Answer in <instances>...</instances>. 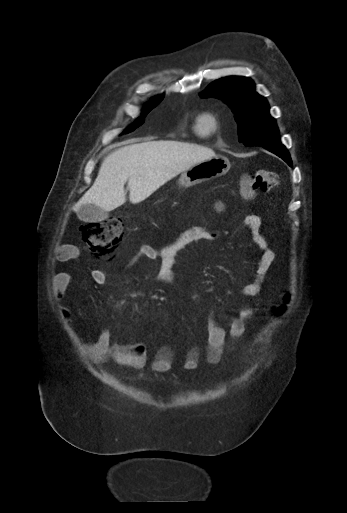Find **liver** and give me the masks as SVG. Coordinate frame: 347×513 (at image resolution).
I'll use <instances>...</instances> for the list:
<instances>
[{
  "label": "liver",
  "mask_w": 347,
  "mask_h": 513,
  "mask_svg": "<svg viewBox=\"0 0 347 513\" xmlns=\"http://www.w3.org/2000/svg\"><path fill=\"white\" fill-rule=\"evenodd\" d=\"M215 156L207 147L160 140L124 146L102 162L92 187L75 204H93L110 212L126 202L124 185L128 181L133 204L148 198L160 186L191 166Z\"/></svg>",
  "instance_id": "liver-1"
}]
</instances>
